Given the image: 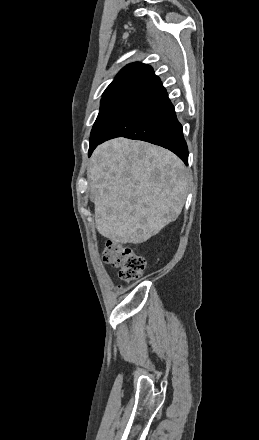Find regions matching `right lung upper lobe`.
<instances>
[{
	"label": "right lung upper lobe",
	"mask_w": 259,
	"mask_h": 440,
	"mask_svg": "<svg viewBox=\"0 0 259 440\" xmlns=\"http://www.w3.org/2000/svg\"><path fill=\"white\" fill-rule=\"evenodd\" d=\"M160 82L151 66L142 63H131L124 67L103 96L117 93H147Z\"/></svg>",
	"instance_id": "obj_1"
}]
</instances>
